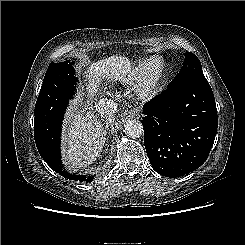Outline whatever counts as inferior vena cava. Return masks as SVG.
Instances as JSON below:
<instances>
[{
    "mask_svg": "<svg viewBox=\"0 0 245 245\" xmlns=\"http://www.w3.org/2000/svg\"><path fill=\"white\" fill-rule=\"evenodd\" d=\"M96 111L109 123L114 122L115 113L117 111V104L110 99H100L96 105Z\"/></svg>",
    "mask_w": 245,
    "mask_h": 245,
    "instance_id": "602c4592",
    "label": "inferior vena cava"
}]
</instances>
